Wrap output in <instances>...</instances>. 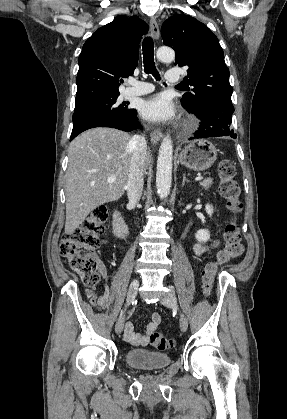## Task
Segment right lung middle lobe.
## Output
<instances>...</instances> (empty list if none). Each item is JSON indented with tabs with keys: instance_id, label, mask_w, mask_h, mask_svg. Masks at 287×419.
<instances>
[{
	"instance_id": "dd1d6c3e",
	"label": "right lung middle lobe",
	"mask_w": 287,
	"mask_h": 419,
	"mask_svg": "<svg viewBox=\"0 0 287 419\" xmlns=\"http://www.w3.org/2000/svg\"><path fill=\"white\" fill-rule=\"evenodd\" d=\"M119 95L101 99L81 107H75L72 117L73 128L81 123L100 116H113V117H127L132 114L134 109L129 108L128 104L123 102L119 104L117 98Z\"/></svg>"
}]
</instances>
